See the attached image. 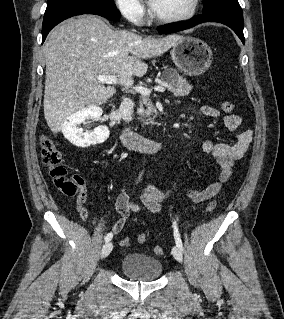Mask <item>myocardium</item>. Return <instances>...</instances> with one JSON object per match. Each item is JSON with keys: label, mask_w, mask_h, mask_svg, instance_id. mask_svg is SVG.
<instances>
[{"label": "myocardium", "mask_w": 284, "mask_h": 319, "mask_svg": "<svg viewBox=\"0 0 284 319\" xmlns=\"http://www.w3.org/2000/svg\"><path fill=\"white\" fill-rule=\"evenodd\" d=\"M199 6H200V0H192L191 7L185 14H182L179 16H171V17L161 16L157 14L155 10L152 8L150 15L153 20L159 23H165V24L180 23V22L188 21L191 18H193L199 9Z\"/></svg>", "instance_id": "myocardium-1"}]
</instances>
